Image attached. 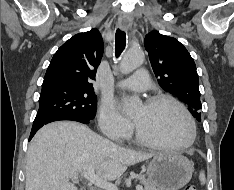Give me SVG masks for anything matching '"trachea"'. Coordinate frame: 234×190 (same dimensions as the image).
Listing matches in <instances>:
<instances>
[{
  "instance_id": "3493384b",
  "label": "trachea",
  "mask_w": 234,
  "mask_h": 190,
  "mask_svg": "<svg viewBox=\"0 0 234 190\" xmlns=\"http://www.w3.org/2000/svg\"><path fill=\"white\" fill-rule=\"evenodd\" d=\"M126 46V34L124 31L117 29L115 34V55L118 58Z\"/></svg>"
}]
</instances>
